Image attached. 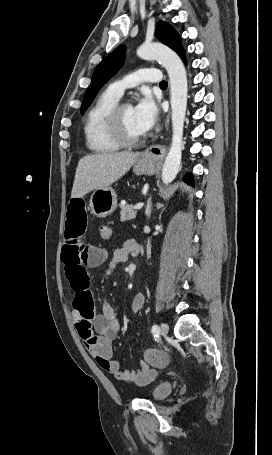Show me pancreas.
I'll return each instance as SVG.
<instances>
[{"mask_svg": "<svg viewBox=\"0 0 272 455\" xmlns=\"http://www.w3.org/2000/svg\"><path fill=\"white\" fill-rule=\"evenodd\" d=\"M120 220L122 222L132 220L136 217V211L134 210L133 205H122L120 212Z\"/></svg>", "mask_w": 272, "mask_h": 455, "instance_id": "1", "label": "pancreas"}]
</instances>
